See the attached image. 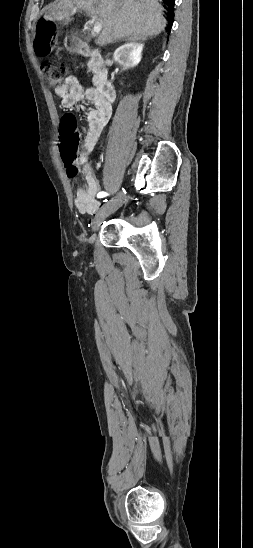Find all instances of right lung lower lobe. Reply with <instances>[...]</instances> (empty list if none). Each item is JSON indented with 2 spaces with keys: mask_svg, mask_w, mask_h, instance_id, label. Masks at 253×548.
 Instances as JSON below:
<instances>
[{
  "mask_svg": "<svg viewBox=\"0 0 253 548\" xmlns=\"http://www.w3.org/2000/svg\"><path fill=\"white\" fill-rule=\"evenodd\" d=\"M165 4H167L168 8L170 9L171 11V14H170V17H169V21L172 25L173 21H174V13H173V10H174V3H175V0H163Z\"/></svg>",
  "mask_w": 253,
  "mask_h": 548,
  "instance_id": "98d812e1",
  "label": "right lung lower lobe"
}]
</instances>
